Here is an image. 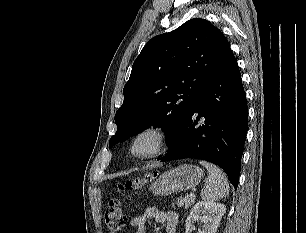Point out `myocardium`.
I'll return each mask as SVG.
<instances>
[{
    "label": "myocardium",
    "mask_w": 306,
    "mask_h": 233,
    "mask_svg": "<svg viewBox=\"0 0 306 233\" xmlns=\"http://www.w3.org/2000/svg\"><path fill=\"white\" fill-rule=\"evenodd\" d=\"M152 135L155 143L152 150L145 153H137L134 150L136 141L144 136ZM170 144V133L167 127L161 123H150L136 130L130 137L127 145L128 154L135 159H148L156 157L165 152Z\"/></svg>",
    "instance_id": "obj_1"
}]
</instances>
